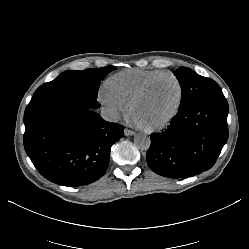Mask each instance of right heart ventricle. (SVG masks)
Wrapping results in <instances>:
<instances>
[{
    "label": "right heart ventricle",
    "instance_id": "obj_1",
    "mask_svg": "<svg viewBox=\"0 0 249 249\" xmlns=\"http://www.w3.org/2000/svg\"><path fill=\"white\" fill-rule=\"evenodd\" d=\"M163 72L165 71L161 69H126L108 77L104 89L129 105L131 99L149 79Z\"/></svg>",
    "mask_w": 249,
    "mask_h": 249
}]
</instances>
